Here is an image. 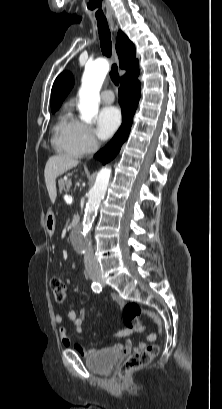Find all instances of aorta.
<instances>
[{
  "instance_id": "aorta-1",
  "label": "aorta",
  "mask_w": 222,
  "mask_h": 409,
  "mask_svg": "<svg viewBox=\"0 0 222 409\" xmlns=\"http://www.w3.org/2000/svg\"><path fill=\"white\" fill-rule=\"evenodd\" d=\"M108 71L109 63L105 59H98L85 67L82 86L79 90L80 103L78 108L81 113V120L87 123H91L98 113L99 92ZM110 176L111 169L107 167L102 168L98 172L95 183L89 191L82 227L77 234V240L80 245L87 239L94 221V215L106 194Z\"/></svg>"
}]
</instances>
